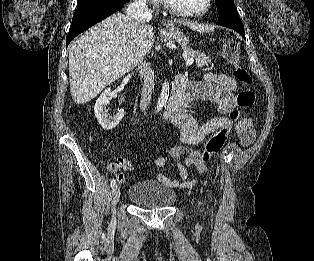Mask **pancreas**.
I'll list each match as a JSON object with an SVG mask.
<instances>
[{
  "label": "pancreas",
  "mask_w": 314,
  "mask_h": 261,
  "mask_svg": "<svg viewBox=\"0 0 314 261\" xmlns=\"http://www.w3.org/2000/svg\"><path fill=\"white\" fill-rule=\"evenodd\" d=\"M183 55L193 57L195 59V64L198 68L208 67L209 64H211V59L209 58V56L198 50L184 48Z\"/></svg>",
  "instance_id": "obj_1"
}]
</instances>
